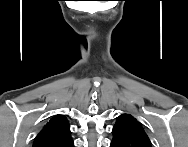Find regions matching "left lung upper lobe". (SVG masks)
<instances>
[{
  "mask_svg": "<svg viewBox=\"0 0 188 147\" xmlns=\"http://www.w3.org/2000/svg\"><path fill=\"white\" fill-rule=\"evenodd\" d=\"M112 133L111 147H151L141 123L130 114L117 117Z\"/></svg>",
  "mask_w": 188,
  "mask_h": 147,
  "instance_id": "obj_1",
  "label": "left lung upper lobe"
}]
</instances>
